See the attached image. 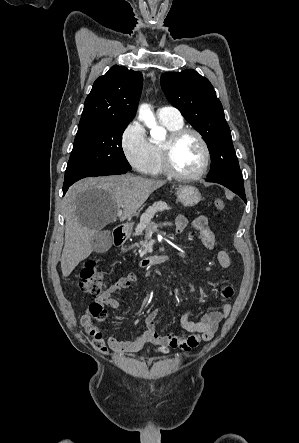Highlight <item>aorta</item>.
<instances>
[{
	"label": "aorta",
	"mask_w": 299,
	"mask_h": 443,
	"mask_svg": "<svg viewBox=\"0 0 299 443\" xmlns=\"http://www.w3.org/2000/svg\"><path fill=\"white\" fill-rule=\"evenodd\" d=\"M139 116L150 129V135L153 139L161 140L165 137L166 130L157 125L155 117L150 109L142 107L139 111Z\"/></svg>",
	"instance_id": "obj_1"
}]
</instances>
